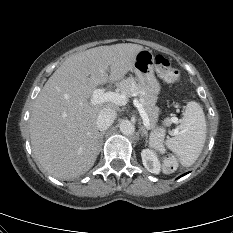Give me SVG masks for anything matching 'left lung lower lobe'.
<instances>
[{
  "label": "left lung lower lobe",
  "instance_id": "0a47b994",
  "mask_svg": "<svg viewBox=\"0 0 233 233\" xmlns=\"http://www.w3.org/2000/svg\"><path fill=\"white\" fill-rule=\"evenodd\" d=\"M186 174H188V173H185V174H183L182 176H184V175H186ZM181 177V176H180Z\"/></svg>",
  "mask_w": 233,
  "mask_h": 233
}]
</instances>
